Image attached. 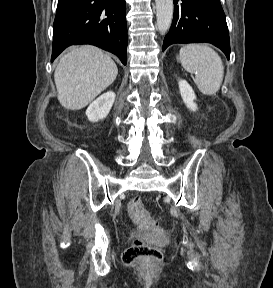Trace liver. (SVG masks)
<instances>
[{
  "label": "liver",
  "instance_id": "liver-1",
  "mask_svg": "<svg viewBox=\"0 0 273 288\" xmlns=\"http://www.w3.org/2000/svg\"><path fill=\"white\" fill-rule=\"evenodd\" d=\"M114 61L97 47H74L60 58L54 81L60 104L80 110L92 102L116 79Z\"/></svg>",
  "mask_w": 273,
  "mask_h": 288
}]
</instances>
